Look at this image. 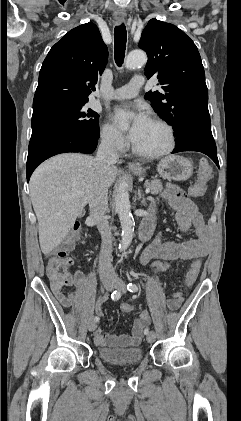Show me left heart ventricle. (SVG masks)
Wrapping results in <instances>:
<instances>
[{"label": "left heart ventricle", "instance_id": "b2bd125f", "mask_svg": "<svg viewBox=\"0 0 241 421\" xmlns=\"http://www.w3.org/2000/svg\"><path fill=\"white\" fill-rule=\"evenodd\" d=\"M167 143V133L163 127L151 121L142 130L134 145L145 152H155L163 149Z\"/></svg>", "mask_w": 241, "mask_h": 421}]
</instances>
